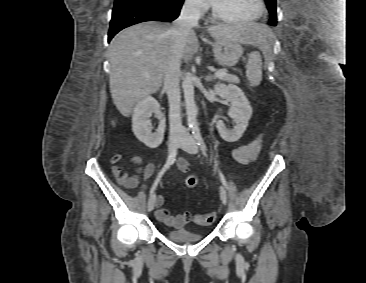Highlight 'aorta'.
Returning <instances> with one entry per match:
<instances>
[{
  "label": "aorta",
  "mask_w": 366,
  "mask_h": 283,
  "mask_svg": "<svg viewBox=\"0 0 366 283\" xmlns=\"http://www.w3.org/2000/svg\"><path fill=\"white\" fill-rule=\"evenodd\" d=\"M182 87L184 92L188 125L191 127H196L198 108L194 100V85L191 75H188L184 78Z\"/></svg>",
  "instance_id": "762f6f07"
}]
</instances>
